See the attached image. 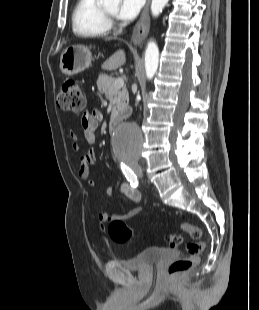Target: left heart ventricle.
<instances>
[{
    "label": "left heart ventricle",
    "mask_w": 259,
    "mask_h": 310,
    "mask_svg": "<svg viewBox=\"0 0 259 310\" xmlns=\"http://www.w3.org/2000/svg\"><path fill=\"white\" fill-rule=\"evenodd\" d=\"M105 10H106L109 14L115 15L116 12H117V5H111V6L105 7Z\"/></svg>",
    "instance_id": "1"
}]
</instances>
